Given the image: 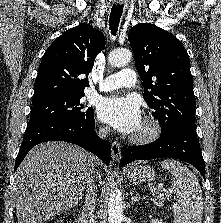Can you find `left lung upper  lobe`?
<instances>
[{
  "mask_svg": "<svg viewBox=\"0 0 221 223\" xmlns=\"http://www.w3.org/2000/svg\"><path fill=\"white\" fill-rule=\"evenodd\" d=\"M128 39L136 69L143 80L144 99L166 135L182 124L195 126V96L189 56L171 33L153 24L139 23Z\"/></svg>",
  "mask_w": 221,
  "mask_h": 223,
  "instance_id": "1",
  "label": "left lung upper lobe"
}]
</instances>
